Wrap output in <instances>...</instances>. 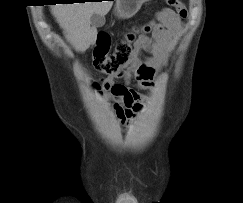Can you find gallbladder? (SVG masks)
Wrapping results in <instances>:
<instances>
[{"label":"gallbladder","mask_w":243,"mask_h":203,"mask_svg":"<svg viewBox=\"0 0 243 203\" xmlns=\"http://www.w3.org/2000/svg\"><path fill=\"white\" fill-rule=\"evenodd\" d=\"M91 24L94 27H102L105 24V17H104V15H100V14L94 13L91 16Z\"/></svg>","instance_id":"bac80fb5"}]
</instances>
